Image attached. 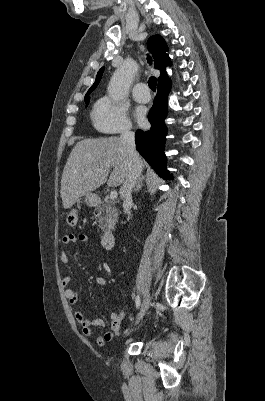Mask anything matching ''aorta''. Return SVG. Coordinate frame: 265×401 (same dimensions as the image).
<instances>
[{"mask_svg": "<svg viewBox=\"0 0 265 401\" xmlns=\"http://www.w3.org/2000/svg\"><path fill=\"white\" fill-rule=\"evenodd\" d=\"M139 64H137L136 60H131V58H127L124 60L123 66L121 68H117L114 74H112L110 78V82L108 84L107 92L109 96H111L112 100H122L128 94V86H130L137 70Z\"/></svg>", "mask_w": 265, "mask_h": 401, "instance_id": "1", "label": "aorta"}]
</instances>
